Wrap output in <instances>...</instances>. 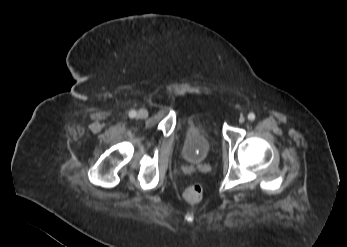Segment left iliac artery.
<instances>
[{"label": "left iliac artery", "mask_w": 347, "mask_h": 247, "mask_svg": "<svg viewBox=\"0 0 347 247\" xmlns=\"http://www.w3.org/2000/svg\"><path fill=\"white\" fill-rule=\"evenodd\" d=\"M248 119H249L250 121H254V119H255V114H254V113H249V114H248Z\"/></svg>", "instance_id": "44dca946"}]
</instances>
